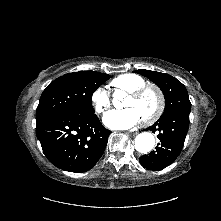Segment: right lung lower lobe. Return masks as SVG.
<instances>
[{"mask_svg": "<svg viewBox=\"0 0 221 221\" xmlns=\"http://www.w3.org/2000/svg\"><path fill=\"white\" fill-rule=\"evenodd\" d=\"M110 133L95 114H60L36 125V135L47 159L56 167L74 173L95 166Z\"/></svg>", "mask_w": 221, "mask_h": 221, "instance_id": "obj_1", "label": "right lung lower lobe"}]
</instances>
